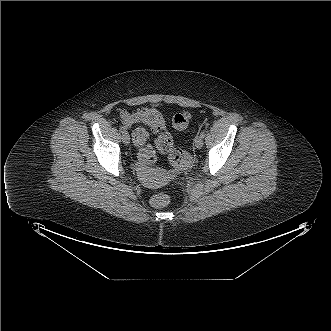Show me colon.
<instances>
[{
	"mask_svg": "<svg viewBox=\"0 0 331 331\" xmlns=\"http://www.w3.org/2000/svg\"><path fill=\"white\" fill-rule=\"evenodd\" d=\"M143 124L150 130L155 132L156 147L165 154H168L171 164L178 168H185L191 164L192 158L190 154L182 149L173 147L172 136L164 130V118L162 114L155 108H147L143 112ZM191 121V114L188 111H180L172 118V126L177 132L184 131ZM138 133L145 135L147 132L143 128L138 129ZM170 202V195L167 192L155 194L150 203L155 208H162Z\"/></svg>",
	"mask_w": 331,
	"mask_h": 331,
	"instance_id": "5ec220e1",
	"label": "colon"
}]
</instances>
